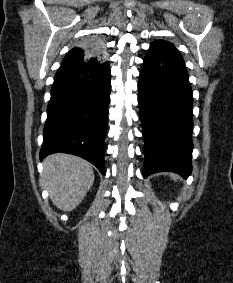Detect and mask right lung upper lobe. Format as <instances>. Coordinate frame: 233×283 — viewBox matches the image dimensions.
I'll return each instance as SVG.
<instances>
[{"label":"right lung upper lobe","mask_w":233,"mask_h":283,"mask_svg":"<svg viewBox=\"0 0 233 283\" xmlns=\"http://www.w3.org/2000/svg\"><path fill=\"white\" fill-rule=\"evenodd\" d=\"M106 45L101 44L97 39H91L88 44H76L64 57L61 66L72 65L84 62H100L105 59V54H113V49H105Z\"/></svg>","instance_id":"right-lung-upper-lobe-1"}]
</instances>
